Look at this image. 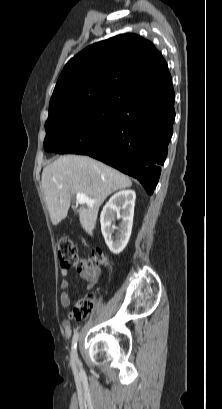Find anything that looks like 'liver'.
<instances>
[{"instance_id": "6515ba94", "label": "liver", "mask_w": 222, "mask_h": 409, "mask_svg": "<svg viewBox=\"0 0 222 409\" xmlns=\"http://www.w3.org/2000/svg\"><path fill=\"white\" fill-rule=\"evenodd\" d=\"M41 184L50 219L55 226L66 218L71 196L75 193H83L94 201L87 208L78 210L82 228L92 236L104 200L113 192L131 187L132 181L88 156L65 155L43 169Z\"/></svg>"}]
</instances>
